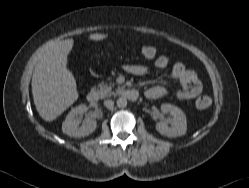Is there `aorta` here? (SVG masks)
<instances>
[{"label":"aorta","mask_w":249,"mask_h":188,"mask_svg":"<svg viewBox=\"0 0 249 188\" xmlns=\"http://www.w3.org/2000/svg\"><path fill=\"white\" fill-rule=\"evenodd\" d=\"M117 106L119 108H124L127 106V99L124 97H120L117 99Z\"/></svg>","instance_id":"762f6f07"}]
</instances>
